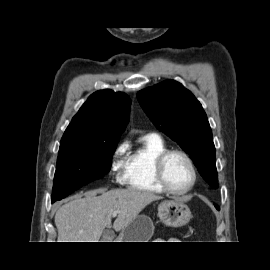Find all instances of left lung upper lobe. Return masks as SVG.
I'll use <instances>...</instances> for the list:
<instances>
[{
	"instance_id": "1",
	"label": "left lung upper lobe",
	"mask_w": 270,
	"mask_h": 270,
	"mask_svg": "<svg viewBox=\"0 0 270 270\" xmlns=\"http://www.w3.org/2000/svg\"><path fill=\"white\" fill-rule=\"evenodd\" d=\"M137 98L154 125L190 155L202 177L216 188L212 131L195 96L180 83L168 80L139 91Z\"/></svg>"
}]
</instances>
